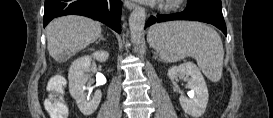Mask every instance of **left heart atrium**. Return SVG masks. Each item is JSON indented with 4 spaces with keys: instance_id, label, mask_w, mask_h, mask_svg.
I'll return each instance as SVG.
<instances>
[{
    "instance_id": "39dd6f15",
    "label": "left heart atrium",
    "mask_w": 273,
    "mask_h": 118,
    "mask_svg": "<svg viewBox=\"0 0 273 118\" xmlns=\"http://www.w3.org/2000/svg\"><path fill=\"white\" fill-rule=\"evenodd\" d=\"M144 1L150 3V2H156V1H159V0H144Z\"/></svg>"
}]
</instances>
